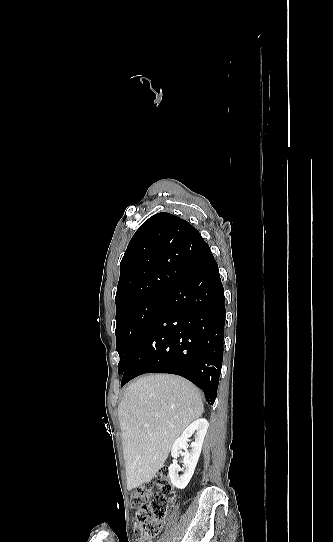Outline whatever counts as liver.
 <instances>
[{
	"mask_svg": "<svg viewBox=\"0 0 333 542\" xmlns=\"http://www.w3.org/2000/svg\"><path fill=\"white\" fill-rule=\"evenodd\" d=\"M198 388L174 374L141 376L118 406L127 490L151 482L183 430L202 418Z\"/></svg>",
	"mask_w": 333,
	"mask_h": 542,
	"instance_id": "liver-1",
	"label": "liver"
}]
</instances>
